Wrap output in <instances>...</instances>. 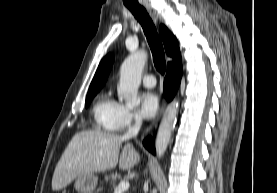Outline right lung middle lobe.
<instances>
[{
  "instance_id": "obj_1",
  "label": "right lung middle lobe",
  "mask_w": 277,
  "mask_h": 193,
  "mask_svg": "<svg viewBox=\"0 0 277 193\" xmlns=\"http://www.w3.org/2000/svg\"><path fill=\"white\" fill-rule=\"evenodd\" d=\"M96 93L97 92L87 94V96H86V104H85L86 107H88V105L90 104L92 98L96 95Z\"/></svg>"
}]
</instances>
